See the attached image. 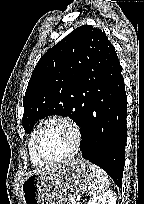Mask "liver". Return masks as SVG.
Listing matches in <instances>:
<instances>
[{
    "label": "liver",
    "instance_id": "obj_1",
    "mask_svg": "<svg viewBox=\"0 0 144 204\" xmlns=\"http://www.w3.org/2000/svg\"><path fill=\"white\" fill-rule=\"evenodd\" d=\"M41 170H37V171H34L33 173H37V172H40ZM33 173H30L29 175L33 174Z\"/></svg>",
    "mask_w": 144,
    "mask_h": 204
}]
</instances>
